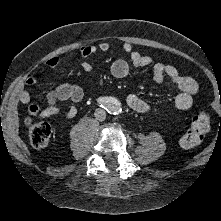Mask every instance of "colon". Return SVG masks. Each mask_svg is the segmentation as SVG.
Masks as SVG:
<instances>
[{"mask_svg":"<svg viewBox=\"0 0 221 221\" xmlns=\"http://www.w3.org/2000/svg\"><path fill=\"white\" fill-rule=\"evenodd\" d=\"M26 125L30 142L35 148H44L49 144L51 128L47 123L27 119ZM209 125L210 118L207 112L202 111L194 115L190 128L180 140L181 146L186 149L197 146L207 133Z\"/></svg>","mask_w":221,"mask_h":221,"instance_id":"obj_1","label":"colon"}]
</instances>
